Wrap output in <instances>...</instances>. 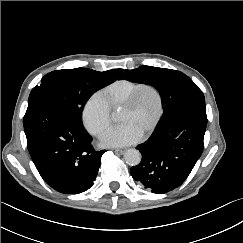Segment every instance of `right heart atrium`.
I'll return each mask as SVG.
<instances>
[{
  "instance_id": "obj_1",
  "label": "right heart atrium",
  "mask_w": 243,
  "mask_h": 243,
  "mask_svg": "<svg viewBox=\"0 0 243 243\" xmlns=\"http://www.w3.org/2000/svg\"><path fill=\"white\" fill-rule=\"evenodd\" d=\"M82 121L87 131L95 137H101L109 129L110 108L101 93H94L86 100L82 109Z\"/></svg>"
}]
</instances>
